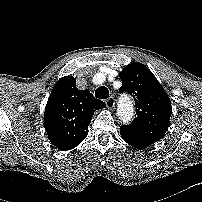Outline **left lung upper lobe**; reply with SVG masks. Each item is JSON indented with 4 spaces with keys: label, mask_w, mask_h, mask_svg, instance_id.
I'll return each instance as SVG.
<instances>
[{
    "label": "left lung upper lobe",
    "mask_w": 202,
    "mask_h": 202,
    "mask_svg": "<svg viewBox=\"0 0 202 202\" xmlns=\"http://www.w3.org/2000/svg\"><path fill=\"white\" fill-rule=\"evenodd\" d=\"M120 92L130 93L136 103L135 120L121 128L148 139L160 140L169 127L170 99L153 73L141 63L127 65L120 73Z\"/></svg>",
    "instance_id": "left-lung-upper-lobe-1"
}]
</instances>
